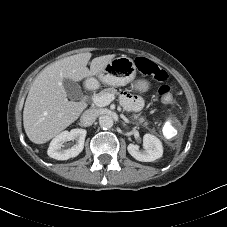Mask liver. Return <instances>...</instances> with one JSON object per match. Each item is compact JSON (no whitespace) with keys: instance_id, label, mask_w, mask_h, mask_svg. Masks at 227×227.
Returning <instances> with one entry per match:
<instances>
[{"instance_id":"obj_1","label":"liver","mask_w":227,"mask_h":227,"mask_svg":"<svg viewBox=\"0 0 227 227\" xmlns=\"http://www.w3.org/2000/svg\"><path fill=\"white\" fill-rule=\"evenodd\" d=\"M114 57V54L96 57L88 69L91 53L86 52L44 68L34 80L25 101L23 125L28 138L35 144L46 143L76 121L87 104L68 101L63 80L78 82L98 76Z\"/></svg>"}]
</instances>
